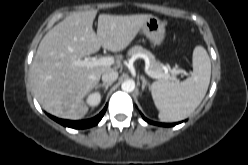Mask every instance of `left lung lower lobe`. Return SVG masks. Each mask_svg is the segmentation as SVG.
Returning <instances> with one entry per match:
<instances>
[{
  "instance_id": "left-lung-lower-lobe-1",
  "label": "left lung lower lobe",
  "mask_w": 248,
  "mask_h": 165,
  "mask_svg": "<svg viewBox=\"0 0 248 165\" xmlns=\"http://www.w3.org/2000/svg\"><path fill=\"white\" fill-rule=\"evenodd\" d=\"M143 119H144L146 122L150 123V124H155V125L164 126V127H171V126L176 125L175 123H172V124L156 123V122H153V121H150V120L146 119L144 116H143Z\"/></svg>"
}]
</instances>
